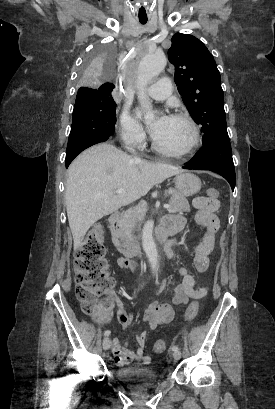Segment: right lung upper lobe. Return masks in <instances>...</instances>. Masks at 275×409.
Instances as JSON below:
<instances>
[{
    "mask_svg": "<svg viewBox=\"0 0 275 409\" xmlns=\"http://www.w3.org/2000/svg\"><path fill=\"white\" fill-rule=\"evenodd\" d=\"M114 84L106 82L101 85L100 90H78L79 93H92L97 96H112V91L114 89Z\"/></svg>",
    "mask_w": 275,
    "mask_h": 409,
    "instance_id": "1",
    "label": "right lung upper lobe"
}]
</instances>
